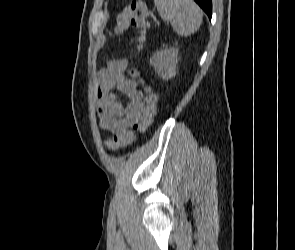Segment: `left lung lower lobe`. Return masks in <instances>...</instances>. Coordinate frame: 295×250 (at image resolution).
I'll list each match as a JSON object with an SVG mask.
<instances>
[{
    "label": "left lung lower lobe",
    "mask_w": 295,
    "mask_h": 250,
    "mask_svg": "<svg viewBox=\"0 0 295 250\" xmlns=\"http://www.w3.org/2000/svg\"><path fill=\"white\" fill-rule=\"evenodd\" d=\"M195 2L206 12L211 19L212 16V1L211 0H195Z\"/></svg>",
    "instance_id": "left-lung-lower-lobe-1"
}]
</instances>
